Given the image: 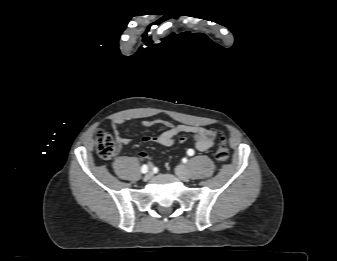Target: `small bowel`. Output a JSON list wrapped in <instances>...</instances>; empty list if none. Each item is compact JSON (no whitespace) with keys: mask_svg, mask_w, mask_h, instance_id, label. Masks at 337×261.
Returning a JSON list of instances; mask_svg holds the SVG:
<instances>
[{"mask_svg":"<svg viewBox=\"0 0 337 261\" xmlns=\"http://www.w3.org/2000/svg\"><path fill=\"white\" fill-rule=\"evenodd\" d=\"M121 123L122 120L119 119L113 120L111 123L119 147L128 145L131 142L129 138L120 135L118 126ZM155 124L165 126L166 130L157 136L144 135L142 137L144 143H156L164 147H170L176 142L183 144L186 141V138L180 137V135L188 133L193 135V147L198 151H206L215 145L216 131L213 128H207L202 125H174L167 120H143L141 122V125L145 128H149ZM139 156L141 158H146L147 154L141 151Z\"/></svg>","mask_w":337,"mask_h":261,"instance_id":"small-bowel-1","label":"small bowel"}]
</instances>
